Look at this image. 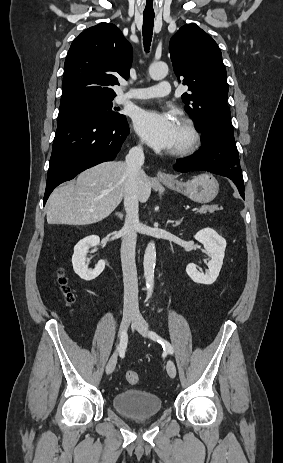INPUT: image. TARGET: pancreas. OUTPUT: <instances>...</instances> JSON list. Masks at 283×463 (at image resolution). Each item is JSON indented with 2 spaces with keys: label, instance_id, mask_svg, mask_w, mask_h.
I'll return each mask as SVG.
<instances>
[{
  "label": "pancreas",
  "instance_id": "cf45deb5",
  "mask_svg": "<svg viewBox=\"0 0 283 463\" xmlns=\"http://www.w3.org/2000/svg\"><path fill=\"white\" fill-rule=\"evenodd\" d=\"M218 209L219 208H218L217 205H211V206L204 205L198 210V212L199 213H206V212L213 213L214 211H216Z\"/></svg>",
  "mask_w": 283,
  "mask_h": 463
}]
</instances>
